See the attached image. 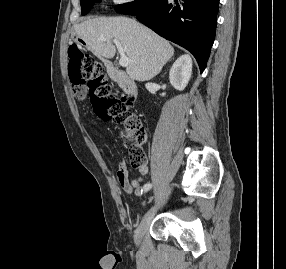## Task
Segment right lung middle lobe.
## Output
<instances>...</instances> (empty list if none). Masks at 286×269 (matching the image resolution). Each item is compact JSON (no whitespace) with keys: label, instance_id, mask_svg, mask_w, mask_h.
I'll return each mask as SVG.
<instances>
[{"label":"right lung middle lobe","instance_id":"right-lung-middle-lobe-1","mask_svg":"<svg viewBox=\"0 0 286 269\" xmlns=\"http://www.w3.org/2000/svg\"><path fill=\"white\" fill-rule=\"evenodd\" d=\"M100 1L101 0H80L82 9L81 14L82 15L87 14L93 7L94 3ZM157 1L158 0H136L132 3L117 5L115 6V10L123 14L135 15L144 10L152 8Z\"/></svg>","mask_w":286,"mask_h":269}]
</instances>
